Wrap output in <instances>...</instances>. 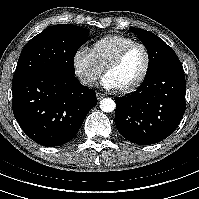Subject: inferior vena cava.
Returning <instances> with one entry per match:
<instances>
[{"label": "inferior vena cava", "mask_w": 199, "mask_h": 199, "mask_svg": "<svg viewBox=\"0 0 199 199\" xmlns=\"http://www.w3.org/2000/svg\"><path fill=\"white\" fill-rule=\"evenodd\" d=\"M79 80H80L81 84L88 86V87H91L94 84V80L91 79L90 77L79 76Z\"/></svg>", "instance_id": "inferior-vena-cava-1"}]
</instances>
